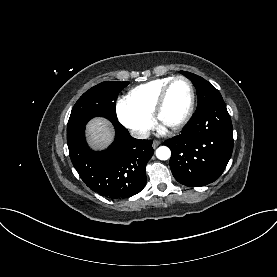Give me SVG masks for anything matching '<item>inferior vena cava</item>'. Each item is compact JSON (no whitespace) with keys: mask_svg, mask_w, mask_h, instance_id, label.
<instances>
[{"mask_svg":"<svg viewBox=\"0 0 277 277\" xmlns=\"http://www.w3.org/2000/svg\"><path fill=\"white\" fill-rule=\"evenodd\" d=\"M130 134L137 139H146L150 133L147 130H131Z\"/></svg>","mask_w":277,"mask_h":277,"instance_id":"1","label":"inferior vena cava"}]
</instances>
